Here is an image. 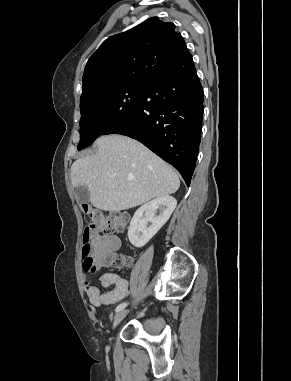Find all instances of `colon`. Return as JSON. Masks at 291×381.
Here are the masks:
<instances>
[{
  "label": "colon",
  "instance_id": "1",
  "mask_svg": "<svg viewBox=\"0 0 291 381\" xmlns=\"http://www.w3.org/2000/svg\"><path fill=\"white\" fill-rule=\"evenodd\" d=\"M82 210L89 218L90 223L82 235L81 255L84 270L94 273L100 266L123 267L129 265L131 260L114 252L104 251L99 254L98 247L93 243V236L99 232L114 233L125 230L129 222L126 213L118 211L103 212L82 204Z\"/></svg>",
  "mask_w": 291,
  "mask_h": 381
}]
</instances>
